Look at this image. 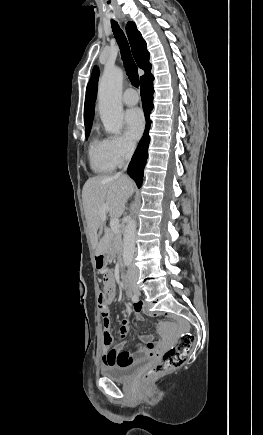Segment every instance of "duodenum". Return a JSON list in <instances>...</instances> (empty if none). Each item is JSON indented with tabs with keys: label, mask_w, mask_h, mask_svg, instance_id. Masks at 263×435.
Returning <instances> with one entry per match:
<instances>
[{
	"label": "duodenum",
	"mask_w": 263,
	"mask_h": 435,
	"mask_svg": "<svg viewBox=\"0 0 263 435\" xmlns=\"http://www.w3.org/2000/svg\"><path fill=\"white\" fill-rule=\"evenodd\" d=\"M121 281H122L123 286H124V288H125L126 294H127L128 296H130L131 293H132L131 285H130V283H129V281H128L127 276H126L124 273L121 274Z\"/></svg>",
	"instance_id": "duodenum-1"
}]
</instances>
